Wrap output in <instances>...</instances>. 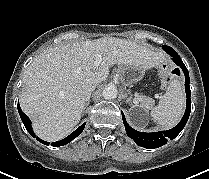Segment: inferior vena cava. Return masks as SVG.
Wrapping results in <instances>:
<instances>
[{
    "label": "inferior vena cava",
    "mask_w": 209,
    "mask_h": 179,
    "mask_svg": "<svg viewBox=\"0 0 209 179\" xmlns=\"http://www.w3.org/2000/svg\"><path fill=\"white\" fill-rule=\"evenodd\" d=\"M96 85H90L86 91H85V100L87 101V99L89 98V96L91 95V92H93L95 90Z\"/></svg>",
    "instance_id": "602c4592"
}]
</instances>
